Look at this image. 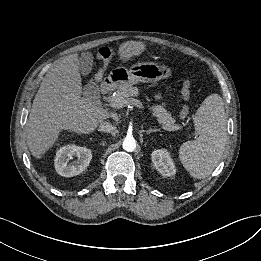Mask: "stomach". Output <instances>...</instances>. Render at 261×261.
<instances>
[{
  "label": "stomach",
  "instance_id": "1",
  "mask_svg": "<svg viewBox=\"0 0 261 261\" xmlns=\"http://www.w3.org/2000/svg\"><path fill=\"white\" fill-rule=\"evenodd\" d=\"M172 75L167 66H159L153 62L136 63L129 69L118 67L114 69L109 79L118 87L137 83H157Z\"/></svg>",
  "mask_w": 261,
  "mask_h": 261
}]
</instances>
